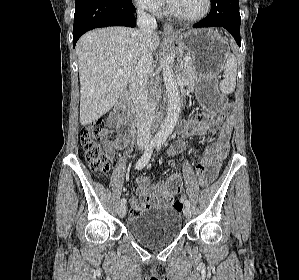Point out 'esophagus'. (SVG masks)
<instances>
[{"label":"esophagus","mask_w":299,"mask_h":280,"mask_svg":"<svg viewBox=\"0 0 299 280\" xmlns=\"http://www.w3.org/2000/svg\"><path fill=\"white\" fill-rule=\"evenodd\" d=\"M163 30H164V33H166V34H173V33H175V30H174L173 26L171 24H169V23H165L163 25Z\"/></svg>","instance_id":"34e87169"}]
</instances>
